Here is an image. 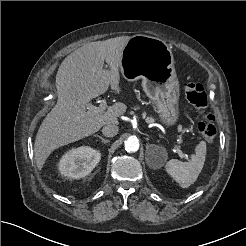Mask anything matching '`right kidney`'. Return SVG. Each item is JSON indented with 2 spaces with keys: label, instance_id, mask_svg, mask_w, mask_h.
<instances>
[{
  "label": "right kidney",
  "instance_id": "right-kidney-1",
  "mask_svg": "<svg viewBox=\"0 0 246 246\" xmlns=\"http://www.w3.org/2000/svg\"><path fill=\"white\" fill-rule=\"evenodd\" d=\"M101 153L89 146L72 148L59 161V172L68 178L79 179L88 175L99 163Z\"/></svg>",
  "mask_w": 246,
  "mask_h": 246
}]
</instances>
